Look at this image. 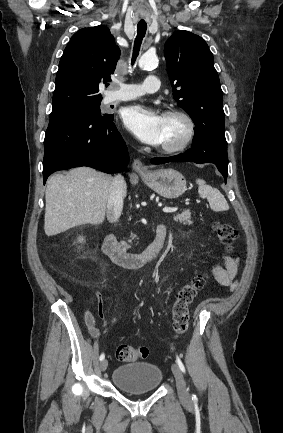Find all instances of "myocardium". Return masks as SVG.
Segmentation results:
<instances>
[{"label": "myocardium", "mask_w": 283, "mask_h": 433, "mask_svg": "<svg viewBox=\"0 0 283 433\" xmlns=\"http://www.w3.org/2000/svg\"><path fill=\"white\" fill-rule=\"evenodd\" d=\"M163 116H177L186 123V134L183 139L175 146L166 148L161 151L163 156H177L183 153L192 143L196 136L197 124L195 119L185 110L179 108H170L164 111Z\"/></svg>", "instance_id": "1"}]
</instances>
